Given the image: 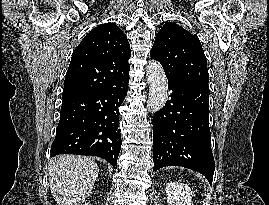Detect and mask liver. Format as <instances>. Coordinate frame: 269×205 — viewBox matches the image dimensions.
<instances>
[{"label": "liver", "mask_w": 269, "mask_h": 205, "mask_svg": "<svg viewBox=\"0 0 269 205\" xmlns=\"http://www.w3.org/2000/svg\"><path fill=\"white\" fill-rule=\"evenodd\" d=\"M49 183L58 205H81L93 190L97 164L88 157L59 155L50 162Z\"/></svg>", "instance_id": "1"}]
</instances>
